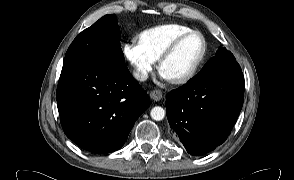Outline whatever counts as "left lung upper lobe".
Instances as JSON below:
<instances>
[{"label":"left lung upper lobe","mask_w":294,"mask_h":180,"mask_svg":"<svg viewBox=\"0 0 294 180\" xmlns=\"http://www.w3.org/2000/svg\"><path fill=\"white\" fill-rule=\"evenodd\" d=\"M237 72H242L238 62L230 51L222 47L191 80L201 82L223 73Z\"/></svg>","instance_id":"1"}]
</instances>
